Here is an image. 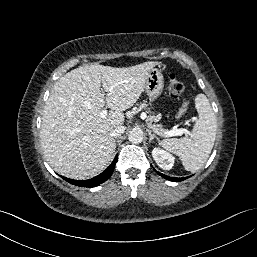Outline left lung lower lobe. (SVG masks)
<instances>
[{
  "mask_svg": "<svg viewBox=\"0 0 257 257\" xmlns=\"http://www.w3.org/2000/svg\"><path fill=\"white\" fill-rule=\"evenodd\" d=\"M160 176H162L163 178H165V179H167V180H170V181H174V182H180V181H182V180H184V179H186L187 177H185V178H174V177H169V176H166V175H164V174H162V173H159V172H157Z\"/></svg>",
  "mask_w": 257,
  "mask_h": 257,
  "instance_id": "obj_1",
  "label": "left lung lower lobe"
}]
</instances>
